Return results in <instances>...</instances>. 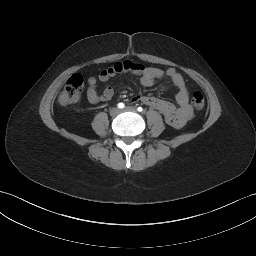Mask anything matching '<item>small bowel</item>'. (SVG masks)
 Returning a JSON list of instances; mask_svg holds the SVG:
<instances>
[{
    "label": "small bowel",
    "instance_id": "obj_1",
    "mask_svg": "<svg viewBox=\"0 0 256 256\" xmlns=\"http://www.w3.org/2000/svg\"><path fill=\"white\" fill-rule=\"evenodd\" d=\"M123 72H129L139 76L140 84L144 87H151L156 80L166 76L178 89L175 97L177 105L155 96L142 94L134 96L131 101L142 102L145 105L156 109L163 115L165 121L175 128L182 127L191 119L192 110L188 103L189 91L183 76L175 68H168L164 71L160 68L150 67L139 62L126 60L116 62L112 66L101 70L98 75V80L107 82L110 78ZM96 87L97 79L95 77H90L88 79L87 98L91 104L106 102L112 99L114 95V89L112 87H106L102 93H98Z\"/></svg>",
    "mask_w": 256,
    "mask_h": 256
}]
</instances>
